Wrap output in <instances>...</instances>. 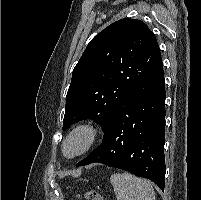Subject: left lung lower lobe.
Wrapping results in <instances>:
<instances>
[{
	"label": "left lung lower lobe",
	"mask_w": 201,
	"mask_h": 200,
	"mask_svg": "<svg viewBox=\"0 0 201 200\" xmlns=\"http://www.w3.org/2000/svg\"><path fill=\"white\" fill-rule=\"evenodd\" d=\"M165 82L162 59L122 100L104 130L103 142L77 163H102L165 186Z\"/></svg>",
	"instance_id": "obj_1"
}]
</instances>
